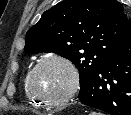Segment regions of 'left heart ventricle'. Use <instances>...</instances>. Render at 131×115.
Instances as JSON below:
<instances>
[{
  "label": "left heart ventricle",
  "mask_w": 131,
  "mask_h": 115,
  "mask_svg": "<svg viewBox=\"0 0 131 115\" xmlns=\"http://www.w3.org/2000/svg\"><path fill=\"white\" fill-rule=\"evenodd\" d=\"M70 81V72L64 65L50 62L37 70L33 85L38 94L46 98H58L68 89Z\"/></svg>",
  "instance_id": "left-heart-ventricle-1"
}]
</instances>
